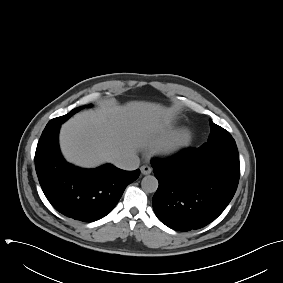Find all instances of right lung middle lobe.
Instances as JSON below:
<instances>
[{"label": "right lung middle lobe", "instance_id": "dd1d6c3e", "mask_svg": "<svg viewBox=\"0 0 283 283\" xmlns=\"http://www.w3.org/2000/svg\"><path fill=\"white\" fill-rule=\"evenodd\" d=\"M88 106H91V105H88ZM85 106H82V107H78V108H75L73 109L72 111H70L68 114L64 115V116H61V117H57V118H54L52 120H50L48 122V124L46 125L45 129L46 128H49L51 126H54L56 124H62L64 121H66L69 117H71L73 114H75L76 112H78L79 110L83 109Z\"/></svg>", "mask_w": 283, "mask_h": 283}]
</instances>
